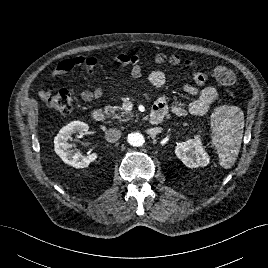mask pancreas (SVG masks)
<instances>
[{"instance_id":"1","label":"pancreas","mask_w":268,"mask_h":268,"mask_svg":"<svg viewBox=\"0 0 268 268\" xmlns=\"http://www.w3.org/2000/svg\"><path fill=\"white\" fill-rule=\"evenodd\" d=\"M105 112L108 116H112L113 118H116L118 120H121L122 118L124 117H128V116H131V113L129 112H125V111H122L121 113H119L120 111V107L119 106H105Z\"/></svg>"}]
</instances>
